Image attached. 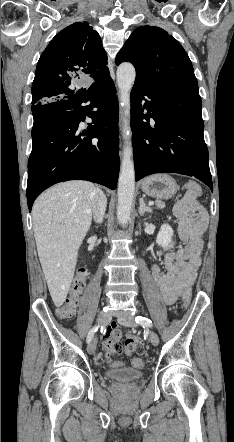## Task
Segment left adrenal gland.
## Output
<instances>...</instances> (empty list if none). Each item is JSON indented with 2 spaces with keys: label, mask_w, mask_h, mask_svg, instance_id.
I'll return each mask as SVG.
<instances>
[{
  "label": "left adrenal gland",
  "mask_w": 234,
  "mask_h": 442,
  "mask_svg": "<svg viewBox=\"0 0 234 442\" xmlns=\"http://www.w3.org/2000/svg\"><path fill=\"white\" fill-rule=\"evenodd\" d=\"M138 212L141 216H143L145 212H150V213L152 212V209L150 207L146 206L143 198H140V200H139Z\"/></svg>",
  "instance_id": "1"
}]
</instances>
